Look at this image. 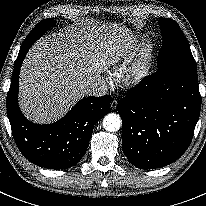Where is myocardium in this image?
I'll return each mask as SVG.
<instances>
[{
	"instance_id": "myocardium-1",
	"label": "myocardium",
	"mask_w": 206,
	"mask_h": 206,
	"mask_svg": "<svg viewBox=\"0 0 206 206\" xmlns=\"http://www.w3.org/2000/svg\"><path fill=\"white\" fill-rule=\"evenodd\" d=\"M154 45L147 42L135 61L124 74V82L128 86H137L146 79L149 74Z\"/></svg>"
}]
</instances>
